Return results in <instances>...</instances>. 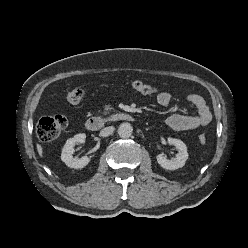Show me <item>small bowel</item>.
I'll return each instance as SVG.
<instances>
[{
	"instance_id": "obj_1",
	"label": "small bowel",
	"mask_w": 248,
	"mask_h": 248,
	"mask_svg": "<svg viewBox=\"0 0 248 248\" xmlns=\"http://www.w3.org/2000/svg\"><path fill=\"white\" fill-rule=\"evenodd\" d=\"M156 99L158 104L166 106L171 102L172 95L169 92L161 91ZM186 100L195 107L196 114L192 116L170 115L165 119L166 126L176 131L193 130L207 126L212 120V114L204 98L198 94H188Z\"/></svg>"
}]
</instances>
